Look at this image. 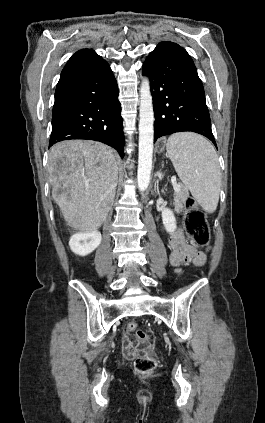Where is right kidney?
Wrapping results in <instances>:
<instances>
[{
	"instance_id": "right-kidney-1",
	"label": "right kidney",
	"mask_w": 265,
	"mask_h": 423,
	"mask_svg": "<svg viewBox=\"0 0 265 423\" xmlns=\"http://www.w3.org/2000/svg\"><path fill=\"white\" fill-rule=\"evenodd\" d=\"M101 233L95 229L74 234L69 241L70 249L79 256L92 253L101 243Z\"/></svg>"
}]
</instances>
